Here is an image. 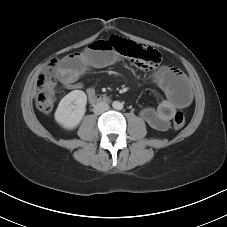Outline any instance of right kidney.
Returning <instances> with one entry per match:
<instances>
[{"label": "right kidney", "mask_w": 227, "mask_h": 227, "mask_svg": "<svg viewBox=\"0 0 227 227\" xmlns=\"http://www.w3.org/2000/svg\"><path fill=\"white\" fill-rule=\"evenodd\" d=\"M86 104L87 96L84 91H71L62 98L56 109V122L65 129L76 128L86 112Z\"/></svg>", "instance_id": "obj_1"}]
</instances>
